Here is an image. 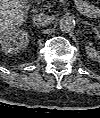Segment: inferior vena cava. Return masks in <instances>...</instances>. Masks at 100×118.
<instances>
[{"instance_id": "inferior-vena-cava-1", "label": "inferior vena cava", "mask_w": 100, "mask_h": 118, "mask_svg": "<svg viewBox=\"0 0 100 118\" xmlns=\"http://www.w3.org/2000/svg\"><path fill=\"white\" fill-rule=\"evenodd\" d=\"M52 22V19L49 15L46 14H37L33 17V23L37 27L47 26Z\"/></svg>"}]
</instances>
